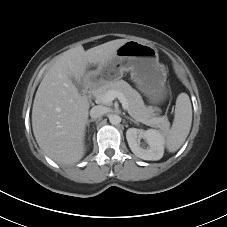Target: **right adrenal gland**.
<instances>
[{
    "instance_id": "obj_1",
    "label": "right adrenal gland",
    "mask_w": 227,
    "mask_h": 227,
    "mask_svg": "<svg viewBox=\"0 0 227 227\" xmlns=\"http://www.w3.org/2000/svg\"><path fill=\"white\" fill-rule=\"evenodd\" d=\"M94 121H96V119L87 120V126H88V128H89L90 123H91V122H94Z\"/></svg>"
}]
</instances>
